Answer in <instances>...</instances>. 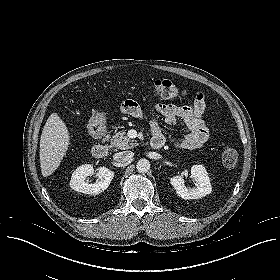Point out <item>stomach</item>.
Returning <instances> with one entry per match:
<instances>
[{
  "label": "stomach",
  "mask_w": 280,
  "mask_h": 280,
  "mask_svg": "<svg viewBox=\"0 0 280 280\" xmlns=\"http://www.w3.org/2000/svg\"><path fill=\"white\" fill-rule=\"evenodd\" d=\"M102 122V116L100 114H97L91 119V126H97L101 124Z\"/></svg>",
  "instance_id": "stomach-1"
}]
</instances>
